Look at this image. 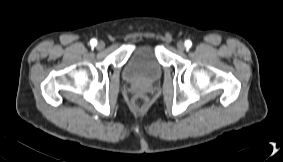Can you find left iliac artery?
<instances>
[{
  "label": "left iliac artery",
  "mask_w": 283,
  "mask_h": 162,
  "mask_svg": "<svg viewBox=\"0 0 283 162\" xmlns=\"http://www.w3.org/2000/svg\"><path fill=\"white\" fill-rule=\"evenodd\" d=\"M185 46H186L187 48H190V47L192 46V42H191L190 40H186V41H185Z\"/></svg>",
  "instance_id": "44dca946"
}]
</instances>
